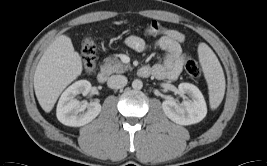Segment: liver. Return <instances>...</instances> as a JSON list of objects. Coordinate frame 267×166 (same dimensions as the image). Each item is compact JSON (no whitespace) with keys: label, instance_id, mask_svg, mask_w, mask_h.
<instances>
[{"label":"liver","instance_id":"1","mask_svg":"<svg viewBox=\"0 0 267 166\" xmlns=\"http://www.w3.org/2000/svg\"><path fill=\"white\" fill-rule=\"evenodd\" d=\"M82 73V61L71 39L61 35L46 49L34 74V90L45 112H50L62 91Z\"/></svg>","mask_w":267,"mask_h":166}]
</instances>
